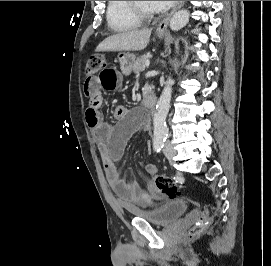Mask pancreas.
<instances>
[{"mask_svg": "<svg viewBox=\"0 0 271 266\" xmlns=\"http://www.w3.org/2000/svg\"><path fill=\"white\" fill-rule=\"evenodd\" d=\"M147 60H149V57L147 55H142V56L138 57L132 66L133 72L137 74V73L143 71L146 67L145 62ZM147 90H149L148 84H146L143 88L144 92Z\"/></svg>", "mask_w": 271, "mask_h": 266, "instance_id": "1", "label": "pancreas"}]
</instances>
